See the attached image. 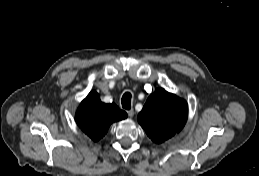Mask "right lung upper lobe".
<instances>
[{
    "label": "right lung upper lobe",
    "mask_w": 259,
    "mask_h": 176,
    "mask_svg": "<svg viewBox=\"0 0 259 176\" xmlns=\"http://www.w3.org/2000/svg\"><path fill=\"white\" fill-rule=\"evenodd\" d=\"M127 117V113L114 103L101 102L99 94L91 91L81 102L76 112L78 126L93 140L98 141L108 131L109 126Z\"/></svg>",
    "instance_id": "1"
}]
</instances>
